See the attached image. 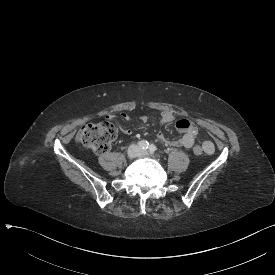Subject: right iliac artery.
I'll use <instances>...</instances> for the list:
<instances>
[{"mask_svg": "<svg viewBox=\"0 0 275 275\" xmlns=\"http://www.w3.org/2000/svg\"><path fill=\"white\" fill-rule=\"evenodd\" d=\"M138 146L142 149H148L149 148V142L146 140H141L138 142Z\"/></svg>", "mask_w": 275, "mask_h": 275, "instance_id": "1", "label": "right iliac artery"}]
</instances>
